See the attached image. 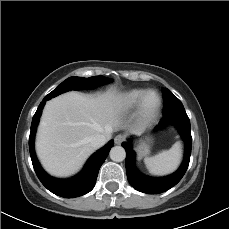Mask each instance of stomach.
<instances>
[{
    "instance_id": "0dacf381",
    "label": "stomach",
    "mask_w": 229,
    "mask_h": 229,
    "mask_svg": "<svg viewBox=\"0 0 229 229\" xmlns=\"http://www.w3.org/2000/svg\"><path fill=\"white\" fill-rule=\"evenodd\" d=\"M151 143L152 141L149 138L139 142L136 148V152L139 158H142L150 153Z\"/></svg>"
}]
</instances>
